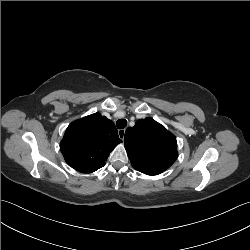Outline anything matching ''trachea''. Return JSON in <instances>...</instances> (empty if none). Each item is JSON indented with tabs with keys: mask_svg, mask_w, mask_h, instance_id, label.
Wrapping results in <instances>:
<instances>
[{
	"mask_svg": "<svg viewBox=\"0 0 250 250\" xmlns=\"http://www.w3.org/2000/svg\"><path fill=\"white\" fill-rule=\"evenodd\" d=\"M126 125H127V120H125V119H119L116 122V126L118 129H123L126 127Z\"/></svg>",
	"mask_w": 250,
	"mask_h": 250,
	"instance_id": "trachea-1",
	"label": "trachea"
}]
</instances>
